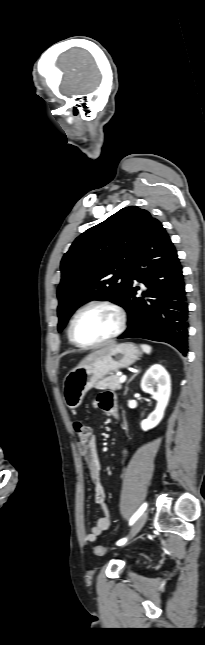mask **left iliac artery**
<instances>
[{"label": "left iliac artery", "instance_id": "obj_1", "mask_svg": "<svg viewBox=\"0 0 205 645\" xmlns=\"http://www.w3.org/2000/svg\"><path fill=\"white\" fill-rule=\"evenodd\" d=\"M147 508V503H144L138 510L137 512L130 518L129 525H132L138 518L139 516L146 510ZM127 541V538H122L117 541V545L121 546L124 545Z\"/></svg>", "mask_w": 205, "mask_h": 645}]
</instances>
